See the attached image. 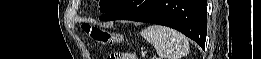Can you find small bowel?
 Segmentation results:
<instances>
[{
	"label": "small bowel",
	"mask_w": 261,
	"mask_h": 59,
	"mask_svg": "<svg viewBox=\"0 0 261 59\" xmlns=\"http://www.w3.org/2000/svg\"><path fill=\"white\" fill-rule=\"evenodd\" d=\"M119 56L121 57L120 59H127V58H125V57L131 56V55L124 53V54H121V55H119Z\"/></svg>",
	"instance_id": "c3829d8e"
}]
</instances>
